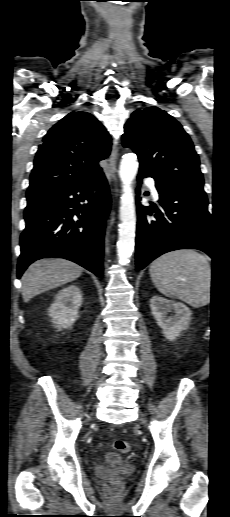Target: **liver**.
<instances>
[{"label": "liver", "instance_id": "liver-1", "mask_svg": "<svg viewBox=\"0 0 230 517\" xmlns=\"http://www.w3.org/2000/svg\"><path fill=\"white\" fill-rule=\"evenodd\" d=\"M83 272L78 264L61 258L40 259L24 272L22 296L29 302L36 295L76 280Z\"/></svg>", "mask_w": 230, "mask_h": 517}]
</instances>
